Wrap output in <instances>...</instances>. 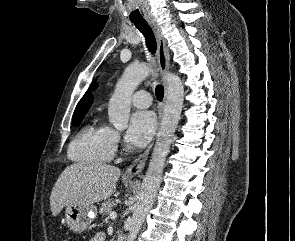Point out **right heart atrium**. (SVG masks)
I'll return each instance as SVG.
<instances>
[{"label": "right heart atrium", "instance_id": "d8ad5b80", "mask_svg": "<svg viewBox=\"0 0 295 241\" xmlns=\"http://www.w3.org/2000/svg\"><path fill=\"white\" fill-rule=\"evenodd\" d=\"M113 140H114L115 145L120 143V135L115 130H113Z\"/></svg>", "mask_w": 295, "mask_h": 241}]
</instances>
